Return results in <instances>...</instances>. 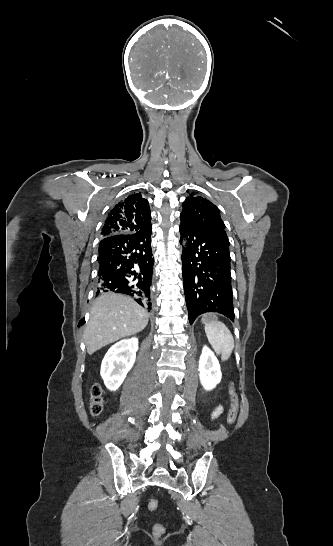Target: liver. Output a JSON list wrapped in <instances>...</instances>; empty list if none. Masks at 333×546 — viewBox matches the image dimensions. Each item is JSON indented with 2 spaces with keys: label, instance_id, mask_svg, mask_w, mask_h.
I'll return each mask as SVG.
<instances>
[{
  "label": "liver",
  "instance_id": "obj_1",
  "mask_svg": "<svg viewBox=\"0 0 333 546\" xmlns=\"http://www.w3.org/2000/svg\"><path fill=\"white\" fill-rule=\"evenodd\" d=\"M148 318V313L128 297L112 293L99 296L84 331L88 354L139 333L147 326Z\"/></svg>",
  "mask_w": 333,
  "mask_h": 546
}]
</instances>
